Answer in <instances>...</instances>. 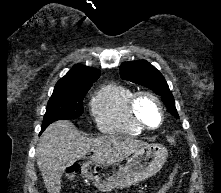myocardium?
I'll use <instances>...</instances> for the list:
<instances>
[{
	"mask_svg": "<svg viewBox=\"0 0 221 193\" xmlns=\"http://www.w3.org/2000/svg\"><path fill=\"white\" fill-rule=\"evenodd\" d=\"M143 99H150V100L154 101L156 103V105L158 106L159 113H160V121L154 127H152V126L148 125L146 122H144L138 114V105H139L140 101ZM129 110H130V114H131L134 122L140 128H142L144 130L159 129L163 125L164 120H165L164 104L161 101V99L155 93H153L151 91H140V92L135 93L130 100Z\"/></svg>",
	"mask_w": 221,
	"mask_h": 193,
	"instance_id": "myocardium-1",
	"label": "myocardium"
}]
</instances>
